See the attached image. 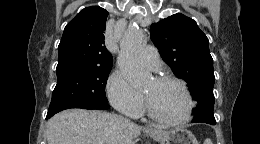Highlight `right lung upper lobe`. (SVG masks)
I'll use <instances>...</instances> for the list:
<instances>
[{
  "mask_svg": "<svg viewBox=\"0 0 260 144\" xmlns=\"http://www.w3.org/2000/svg\"><path fill=\"white\" fill-rule=\"evenodd\" d=\"M108 12L98 6L81 10L65 27L58 46V68L112 67V55L104 46Z\"/></svg>",
  "mask_w": 260,
  "mask_h": 144,
  "instance_id": "obj_1",
  "label": "right lung upper lobe"
}]
</instances>
